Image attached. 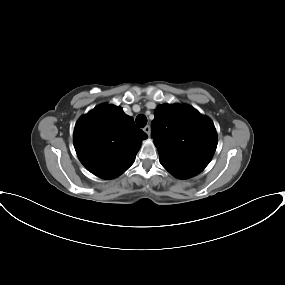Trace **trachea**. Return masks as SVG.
<instances>
[{"label":"trachea","instance_id":"1","mask_svg":"<svg viewBox=\"0 0 285 285\" xmlns=\"http://www.w3.org/2000/svg\"><path fill=\"white\" fill-rule=\"evenodd\" d=\"M136 124L140 127L143 128L147 124V118L145 115L140 114L136 117Z\"/></svg>","mask_w":285,"mask_h":285}]
</instances>
